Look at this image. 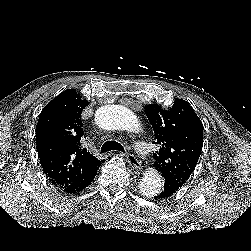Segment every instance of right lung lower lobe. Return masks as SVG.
<instances>
[{
  "mask_svg": "<svg viewBox=\"0 0 251 251\" xmlns=\"http://www.w3.org/2000/svg\"><path fill=\"white\" fill-rule=\"evenodd\" d=\"M95 175H96V173L93 174L88 179L83 180L82 183H80L79 185H76V186H73L71 184L66 187H57V186L56 187L59 188L60 190L64 191L65 193H68V194L78 193V192L82 191L83 189H85L92 182Z\"/></svg>",
  "mask_w": 251,
  "mask_h": 251,
  "instance_id": "98d812e1",
  "label": "right lung lower lobe"
}]
</instances>
